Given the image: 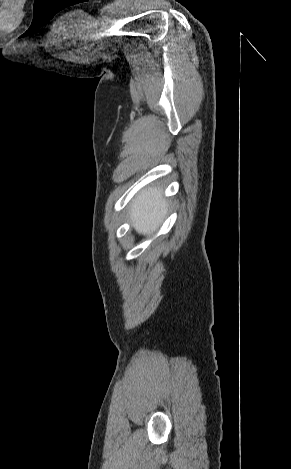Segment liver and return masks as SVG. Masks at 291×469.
Listing matches in <instances>:
<instances>
[{"label": "liver", "instance_id": "6515ba94", "mask_svg": "<svg viewBox=\"0 0 291 469\" xmlns=\"http://www.w3.org/2000/svg\"><path fill=\"white\" fill-rule=\"evenodd\" d=\"M168 210V202L162 190L149 187L142 190L132 201L129 215L139 234L150 235L162 224Z\"/></svg>", "mask_w": 291, "mask_h": 469}]
</instances>
